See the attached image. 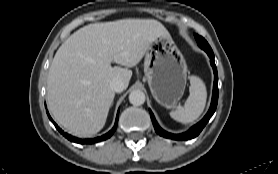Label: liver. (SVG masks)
Instances as JSON below:
<instances>
[{
  "label": "liver",
  "instance_id": "6515ba94",
  "mask_svg": "<svg viewBox=\"0 0 278 174\" xmlns=\"http://www.w3.org/2000/svg\"><path fill=\"white\" fill-rule=\"evenodd\" d=\"M170 37L154 19L94 23L74 32L57 50L47 78V102L55 120L71 134L86 137L105 125L119 78L125 89L153 39ZM117 63L126 68L111 66Z\"/></svg>",
  "mask_w": 278,
  "mask_h": 174
}]
</instances>
